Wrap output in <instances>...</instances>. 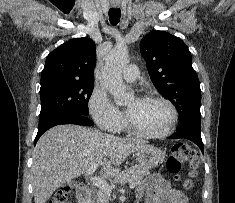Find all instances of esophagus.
I'll use <instances>...</instances> for the list:
<instances>
[{
	"mask_svg": "<svg viewBox=\"0 0 235 203\" xmlns=\"http://www.w3.org/2000/svg\"><path fill=\"white\" fill-rule=\"evenodd\" d=\"M113 7L118 8V7H119V4H118V3H114V4H113Z\"/></svg>",
	"mask_w": 235,
	"mask_h": 203,
	"instance_id": "1",
	"label": "esophagus"
}]
</instances>
